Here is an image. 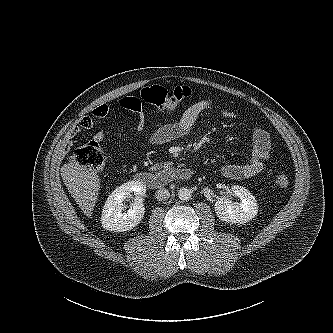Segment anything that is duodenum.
<instances>
[{
	"label": "duodenum",
	"instance_id": "1",
	"mask_svg": "<svg viewBox=\"0 0 333 333\" xmlns=\"http://www.w3.org/2000/svg\"><path fill=\"white\" fill-rule=\"evenodd\" d=\"M193 171L188 167H171L158 172H138L135 180L149 188L161 189L174 181L189 180Z\"/></svg>",
	"mask_w": 333,
	"mask_h": 333
}]
</instances>
